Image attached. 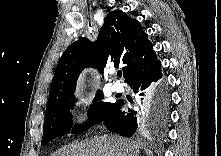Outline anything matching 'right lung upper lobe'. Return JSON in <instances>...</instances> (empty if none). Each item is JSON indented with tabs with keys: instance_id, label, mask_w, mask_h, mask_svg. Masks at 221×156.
I'll return each mask as SVG.
<instances>
[{
	"instance_id": "1",
	"label": "right lung upper lobe",
	"mask_w": 221,
	"mask_h": 156,
	"mask_svg": "<svg viewBox=\"0 0 221 156\" xmlns=\"http://www.w3.org/2000/svg\"><path fill=\"white\" fill-rule=\"evenodd\" d=\"M156 61L153 45L141 24L123 11L114 10L105 17L97 41L83 37L64 51L55 70L47 107L74 92L79 73L85 67L103 73L106 65L118 67L122 63L126 82Z\"/></svg>"
}]
</instances>
